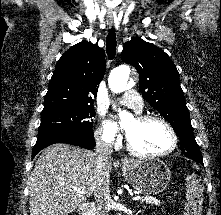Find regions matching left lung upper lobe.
Masks as SVG:
<instances>
[{
	"instance_id": "obj_1",
	"label": "left lung upper lobe",
	"mask_w": 221,
	"mask_h": 215,
	"mask_svg": "<svg viewBox=\"0 0 221 215\" xmlns=\"http://www.w3.org/2000/svg\"><path fill=\"white\" fill-rule=\"evenodd\" d=\"M124 62L139 72V89L146 101L169 121L180 140L181 151L189 158L202 157L175 64L159 47L134 37L124 44Z\"/></svg>"
}]
</instances>
